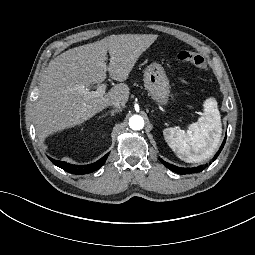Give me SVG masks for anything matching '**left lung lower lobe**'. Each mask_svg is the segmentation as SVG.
<instances>
[{"label":"left lung lower lobe","mask_w":255,"mask_h":255,"mask_svg":"<svg viewBox=\"0 0 255 255\" xmlns=\"http://www.w3.org/2000/svg\"><path fill=\"white\" fill-rule=\"evenodd\" d=\"M225 141H226V137H225L219 151L216 153L215 157L213 158V160H215L218 157V155L220 154L221 150L224 147ZM160 161L167 168H169L171 171L176 172L178 174H190V173H195V172H201L204 168H206L208 166L207 164H205V165H201V166H198V167H195V168H181V167H177V166H174L172 164H169V163L163 161L162 159H160Z\"/></svg>","instance_id":"0a47b994"}]
</instances>
